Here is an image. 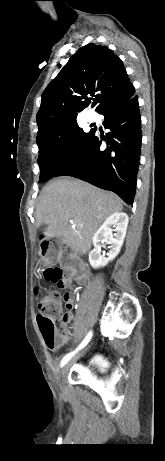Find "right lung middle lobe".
I'll list each match as a JSON object with an SVG mask.
<instances>
[{
    "label": "right lung middle lobe",
    "mask_w": 165,
    "mask_h": 461,
    "mask_svg": "<svg viewBox=\"0 0 165 461\" xmlns=\"http://www.w3.org/2000/svg\"><path fill=\"white\" fill-rule=\"evenodd\" d=\"M93 130L86 133L78 125L77 120L68 121L48 131L37 139L39 147L38 164L40 167L39 182H45L55 175L85 146Z\"/></svg>",
    "instance_id": "right-lung-middle-lobe-1"
}]
</instances>
